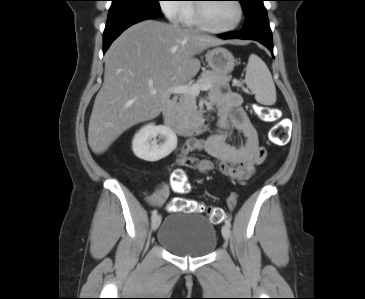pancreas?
<instances>
[{"mask_svg":"<svg viewBox=\"0 0 365 299\" xmlns=\"http://www.w3.org/2000/svg\"><path fill=\"white\" fill-rule=\"evenodd\" d=\"M229 80L230 78L226 75L207 70L201 73L196 84H210V89H219L222 86H227ZM198 116L196 97L190 94H184L175 107L176 122L179 126L190 129L195 124Z\"/></svg>","mask_w":365,"mask_h":299,"instance_id":"1","label":"pancreas"}]
</instances>
